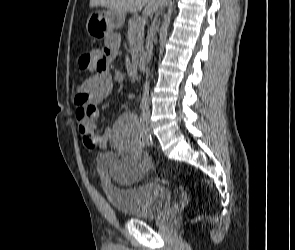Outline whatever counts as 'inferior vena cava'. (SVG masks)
<instances>
[{
  "label": "inferior vena cava",
  "instance_id": "obj_1",
  "mask_svg": "<svg viewBox=\"0 0 295 250\" xmlns=\"http://www.w3.org/2000/svg\"><path fill=\"white\" fill-rule=\"evenodd\" d=\"M163 7H161L160 9H162ZM159 9V10H160ZM160 11H157L156 16L149 28V32H148V36H147V45H146V53H147V59L149 61V59L152 57L153 54V44L155 41V35H156V31L158 29V26L156 24L157 22V17L159 16ZM141 111L143 116H149L150 115V108H149V86H148V82L146 83V87L144 89V94H143V98H142V102H141Z\"/></svg>",
  "mask_w": 295,
  "mask_h": 250
}]
</instances>
